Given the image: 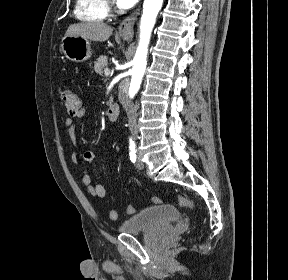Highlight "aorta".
<instances>
[{
	"label": "aorta",
	"mask_w": 288,
	"mask_h": 280,
	"mask_svg": "<svg viewBox=\"0 0 288 280\" xmlns=\"http://www.w3.org/2000/svg\"><path fill=\"white\" fill-rule=\"evenodd\" d=\"M162 4L163 0H144L143 14L140 21V38L133 59V67L131 70L132 77L128 91L130 99L137 94L140 88L146 70L148 45L151 33Z\"/></svg>",
	"instance_id": "762f6f07"
}]
</instances>
